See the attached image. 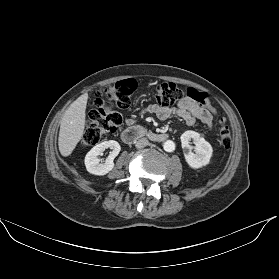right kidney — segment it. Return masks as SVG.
<instances>
[{
	"mask_svg": "<svg viewBox=\"0 0 279 279\" xmlns=\"http://www.w3.org/2000/svg\"><path fill=\"white\" fill-rule=\"evenodd\" d=\"M110 148L112 151L102 163V160L98 158L99 155H103V152ZM121 150L120 144L117 141L109 140L101 142L95 145L85 156V166L89 173L95 175H106L114 168V158L119 154Z\"/></svg>",
	"mask_w": 279,
	"mask_h": 279,
	"instance_id": "right-kidney-1",
	"label": "right kidney"
}]
</instances>
